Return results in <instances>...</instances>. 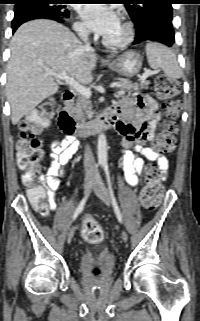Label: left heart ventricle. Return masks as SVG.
Masks as SVG:
<instances>
[{"label":"left heart ventricle","mask_w":200,"mask_h":321,"mask_svg":"<svg viewBox=\"0 0 200 321\" xmlns=\"http://www.w3.org/2000/svg\"><path fill=\"white\" fill-rule=\"evenodd\" d=\"M126 30L122 24L119 22L118 25L106 36H104L110 42H119L125 38Z\"/></svg>","instance_id":"b2bd125f"}]
</instances>
